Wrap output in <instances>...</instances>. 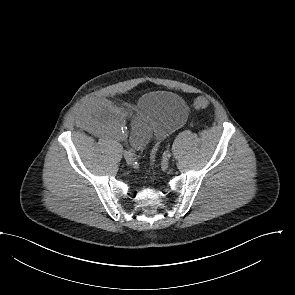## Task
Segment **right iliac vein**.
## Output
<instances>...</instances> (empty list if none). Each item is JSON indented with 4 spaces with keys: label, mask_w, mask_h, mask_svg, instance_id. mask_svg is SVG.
Returning a JSON list of instances; mask_svg holds the SVG:
<instances>
[{
    "label": "right iliac vein",
    "mask_w": 295,
    "mask_h": 295,
    "mask_svg": "<svg viewBox=\"0 0 295 295\" xmlns=\"http://www.w3.org/2000/svg\"><path fill=\"white\" fill-rule=\"evenodd\" d=\"M124 158L127 164H132L134 162V157L133 155H129L128 153L124 152Z\"/></svg>",
    "instance_id": "1"
}]
</instances>
